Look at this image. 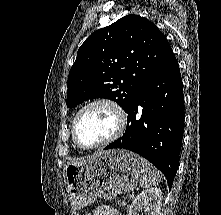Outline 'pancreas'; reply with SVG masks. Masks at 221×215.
Segmentation results:
<instances>
[{"mask_svg": "<svg viewBox=\"0 0 221 215\" xmlns=\"http://www.w3.org/2000/svg\"><path fill=\"white\" fill-rule=\"evenodd\" d=\"M126 204H127L126 199H123V200L118 201V205H119V206H123V207H125Z\"/></svg>", "mask_w": 221, "mask_h": 215, "instance_id": "cf45deb5", "label": "pancreas"}]
</instances>
